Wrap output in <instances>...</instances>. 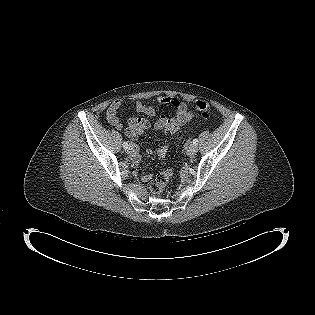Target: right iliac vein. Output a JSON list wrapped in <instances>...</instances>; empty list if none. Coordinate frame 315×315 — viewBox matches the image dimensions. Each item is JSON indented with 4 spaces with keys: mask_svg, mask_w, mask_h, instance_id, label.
I'll use <instances>...</instances> for the list:
<instances>
[{
    "mask_svg": "<svg viewBox=\"0 0 315 315\" xmlns=\"http://www.w3.org/2000/svg\"><path fill=\"white\" fill-rule=\"evenodd\" d=\"M134 150L133 145H129V147L127 148V153L131 154Z\"/></svg>",
    "mask_w": 315,
    "mask_h": 315,
    "instance_id": "1",
    "label": "right iliac vein"
}]
</instances>
